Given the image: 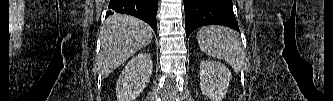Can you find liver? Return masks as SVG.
Instances as JSON below:
<instances>
[{"label": "liver", "mask_w": 333, "mask_h": 101, "mask_svg": "<svg viewBox=\"0 0 333 101\" xmlns=\"http://www.w3.org/2000/svg\"><path fill=\"white\" fill-rule=\"evenodd\" d=\"M151 27L136 17L114 14L107 18L101 35L98 68L107 77L129 57L148 45Z\"/></svg>", "instance_id": "liver-1"}]
</instances>
